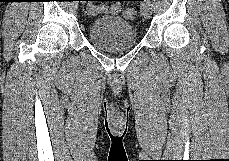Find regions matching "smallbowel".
Listing matches in <instances>:
<instances>
[{"label":"small bowel","mask_w":229,"mask_h":161,"mask_svg":"<svg viewBox=\"0 0 229 161\" xmlns=\"http://www.w3.org/2000/svg\"><path fill=\"white\" fill-rule=\"evenodd\" d=\"M119 9H120V4H119V2H116L115 4L109 6V7L106 9V11H107L108 13H110V14H114V13H117V12L119 11ZM90 12H91V13H95V12H97V9L94 8V7H92V8H90Z\"/></svg>","instance_id":"obj_1"}]
</instances>
